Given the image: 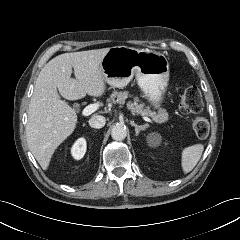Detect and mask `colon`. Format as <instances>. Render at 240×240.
I'll return each mask as SVG.
<instances>
[{
  "instance_id": "colon-1",
  "label": "colon",
  "mask_w": 240,
  "mask_h": 240,
  "mask_svg": "<svg viewBox=\"0 0 240 240\" xmlns=\"http://www.w3.org/2000/svg\"><path fill=\"white\" fill-rule=\"evenodd\" d=\"M180 108L183 112L197 114L203 108V98L196 86L186 87L180 97ZM191 125L198 137H205L209 132V123L206 118L195 115L192 117Z\"/></svg>"
}]
</instances>
